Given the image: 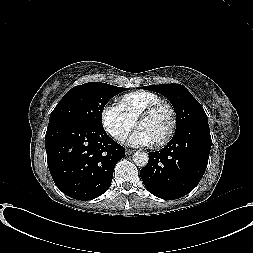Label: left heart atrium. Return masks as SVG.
<instances>
[{"label": "left heart atrium", "mask_w": 253, "mask_h": 253, "mask_svg": "<svg viewBox=\"0 0 253 253\" xmlns=\"http://www.w3.org/2000/svg\"><path fill=\"white\" fill-rule=\"evenodd\" d=\"M128 144L135 147L149 146L154 144L149 135L142 129H137L128 139Z\"/></svg>", "instance_id": "obj_1"}]
</instances>
